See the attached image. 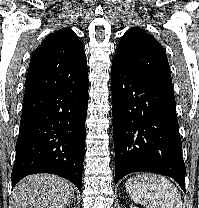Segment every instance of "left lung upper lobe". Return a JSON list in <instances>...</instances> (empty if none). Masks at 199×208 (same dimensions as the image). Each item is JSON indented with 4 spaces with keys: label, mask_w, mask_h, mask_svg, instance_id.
Segmentation results:
<instances>
[{
    "label": "left lung upper lobe",
    "mask_w": 199,
    "mask_h": 208,
    "mask_svg": "<svg viewBox=\"0 0 199 208\" xmlns=\"http://www.w3.org/2000/svg\"><path fill=\"white\" fill-rule=\"evenodd\" d=\"M113 61L134 74L156 83L172 87L168 59L163 47L140 28H131L122 36Z\"/></svg>",
    "instance_id": "left-lung-upper-lobe-1"
}]
</instances>
